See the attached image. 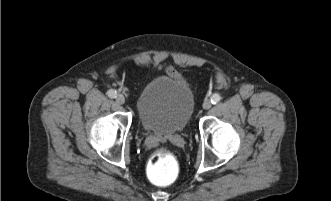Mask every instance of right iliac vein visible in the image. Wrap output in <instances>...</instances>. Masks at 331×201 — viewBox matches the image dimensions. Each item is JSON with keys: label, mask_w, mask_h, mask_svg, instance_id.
Returning <instances> with one entry per match:
<instances>
[{"label": "right iliac vein", "mask_w": 331, "mask_h": 201, "mask_svg": "<svg viewBox=\"0 0 331 201\" xmlns=\"http://www.w3.org/2000/svg\"><path fill=\"white\" fill-rule=\"evenodd\" d=\"M116 102L118 104H124L125 103V97L122 94H118L116 96Z\"/></svg>", "instance_id": "63e3f726"}]
</instances>
